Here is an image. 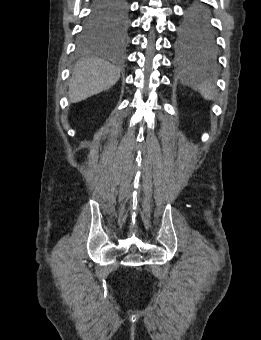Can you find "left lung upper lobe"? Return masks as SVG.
<instances>
[{
    "mask_svg": "<svg viewBox=\"0 0 261 340\" xmlns=\"http://www.w3.org/2000/svg\"><path fill=\"white\" fill-rule=\"evenodd\" d=\"M178 47L213 57L217 52L214 30L203 5L195 4L186 13L178 31Z\"/></svg>",
    "mask_w": 261,
    "mask_h": 340,
    "instance_id": "5c2ea615",
    "label": "left lung upper lobe"
}]
</instances>
